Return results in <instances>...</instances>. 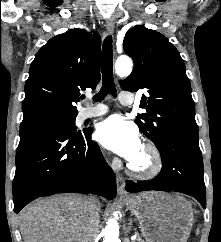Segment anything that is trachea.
Here are the masks:
<instances>
[{
	"mask_svg": "<svg viewBox=\"0 0 221 242\" xmlns=\"http://www.w3.org/2000/svg\"><path fill=\"white\" fill-rule=\"evenodd\" d=\"M102 79V87L93 98L95 102H101L108 94H111L114 98H116V88L113 78V53L111 36H107L103 42Z\"/></svg>",
	"mask_w": 221,
	"mask_h": 242,
	"instance_id": "3493384b",
	"label": "trachea"
}]
</instances>
